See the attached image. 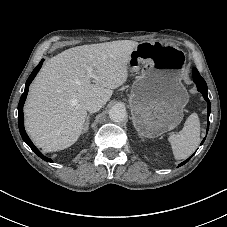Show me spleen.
I'll list each match as a JSON object with an SVG mask.
<instances>
[{"mask_svg": "<svg viewBox=\"0 0 227 227\" xmlns=\"http://www.w3.org/2000/svg\"><path fill=\"white\" fill-rule=\"evenodd\" d=\"M175 159L189 157L200 143V121L196 113H192L186 120L183 129L168 138Z\"/></svg>", "mask_w": 227, "mask_h": 227, "instance_id": "spleen-1", "label": "spleen"}]
</instances>
